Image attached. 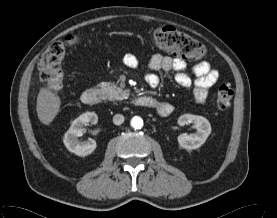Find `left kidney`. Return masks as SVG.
Instances as JSON below:
<instances>
[{"instance_id":"5707ae66","label":"left kidney","mask_w":277,"mask_h":218,"mask_svg":"<svg viewBox=\"0 0 277 218\" xmlns=\"http://www.w3.org/2000/svg\"><path fill=\"white\" fill-rule=\"evenodd\" d=\"M193 123L197 131L192 134H180L178 143L182 148L192 150L197 149L205 143L211 133V124L203 116L193 114H183L178 118V124L184 126Z\"/></svg>"}]
</instances>
